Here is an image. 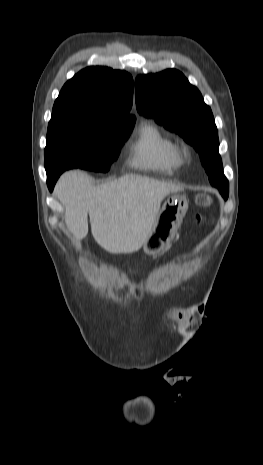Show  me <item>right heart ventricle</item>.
Masks as SVG:
<instances>
[{
	"label": "right heart ventricle",
	"mask_w": 263,
	"mask_h": 465,
	"mask_svg": "<svg viewBox=\"0 0 263 465\" xmlns=\"http://www.w3.org/2000/svg\"><path fill=\"white\" fill-rule=\"evenodd\" d=\"M129 163L139 170L173 175L181 166L176 143L152 122H142L129 147Z\"/></svg>",
	"instance_id": "e07e8e85"
}]
</instances>
